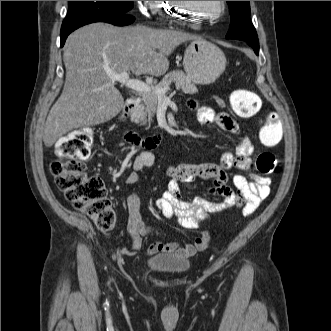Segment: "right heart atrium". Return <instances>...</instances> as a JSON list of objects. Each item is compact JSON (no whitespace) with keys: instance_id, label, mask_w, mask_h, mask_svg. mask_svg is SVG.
<instances>
[{"instance_id":"d8ad5b80","label":"right heart atrium","mask_w":331,"mask_h":331,"mask_svg":"<svg viewBox=\"0 0 331 331\" xmlns=\"http://www.w3.org/2000/svg\"><path fill=\"white\" fill-rule=\"evenodd\" d=\"M141 6V16H152L159 1H137Z\"/></svg>"}]
</instances>
